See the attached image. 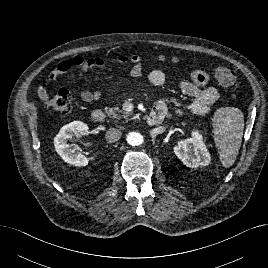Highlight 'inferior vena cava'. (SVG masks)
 <instances>
[{
  "label": "inferior vena cava",
  "instance_id": "inferior-vena-cava-1",
  "mask_svg": "<svg viewBox=\"0 0 268 268\" xmlns=\"http://www.w3.org/2000/svg\"><path fill=\"white\" fill-rule=\"evenodd\" d=\"M121 137V131L119 129L116 128H110L106 131L105 134V139L109 142V143H114L116 141H118Z\"/></svg>",
  "mask_w": 268,
  "mask_h": 268
}]
</instances>
